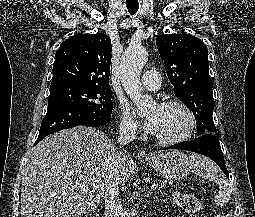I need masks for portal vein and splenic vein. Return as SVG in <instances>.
Returning a JSON list of instances; mask_svg holds the SVG:
<instances>
[{"mask_svg":"<svg viewBox=\"0 0 255 217\" xmlns=\"http://www.w3.org/2000/svg\"><path fill=\"white\" fill-rule=\"evenodd\" d=\"M158 185L154 184L151 186V189L155 190L157 188Z\"/></svg>","mask_w":255,"mask_h":217,"instance_id":"18ae733b","label":"portal vein and splenic vein"}]
</instances>
